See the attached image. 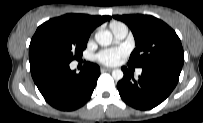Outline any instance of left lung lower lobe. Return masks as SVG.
Wrapping results in <instances>:
<instances>
[{
  "label": "left lung lower lobe",
  "instance_id": "obj_1",
  "mask_svg": "<svg viewBox=\"0 0 203 123\" xmlns=\"http://www.w3.org/2000/svg\"><path fill=\"white\" fill-rule=\"evenodd\" d=\"M138 80L126 67L124 77L117 84L121 98L130 106L149 110L163 102L178 83L181 68L177 66L152 65L142 67Z\"/></svg>",
  "mask_w": 203,
  "mask_h": 123
}]
</instances>
